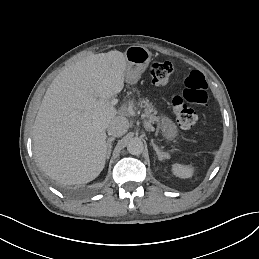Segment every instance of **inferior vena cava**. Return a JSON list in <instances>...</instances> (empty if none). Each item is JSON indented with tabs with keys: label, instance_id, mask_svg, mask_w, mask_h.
Masks as SVG:
<instances>
[{
	"label": "inferior vena cava",
	"instance_id": "inferior-vena-cava-1",
	"mask_svg": "<svg viewBox=\"0 0 259 259\" xmlns=\"http://www.w3.org/2000/svg\"><path fill=\"white\" fill-rule=\"evenodd\" d=\"M108 134L113 137L123 136L129 129V121L123 116H116L108 125Z\"/></svg>",
	"mask_w": 259,
	"mask_h": 259
}]
</instances>
